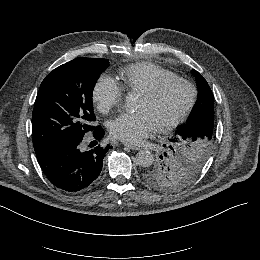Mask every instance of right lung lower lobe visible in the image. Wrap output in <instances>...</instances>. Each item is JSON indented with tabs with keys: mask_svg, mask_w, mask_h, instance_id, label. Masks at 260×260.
Instances as JSON below:
<instances>
[{
	"mask_svg": "<svg viewBox=\"0 0 260 260\" xmlns=\"http://www.w3.org/2000/svg\"><path fill=\"white\" fill-rule=\"evenodd\" d=\"M104 130L97 126L93 136L100 140ZM82 140L64 141L35 149L37 160L48 180L66 192H78L90 186L100 175L109 145L81 150ZM93 143L97 144V141Z\"/></svg>",
	"mask_w": 260,
	"mask_h": 260,
	"instance_id": "obj_1",
	"label": "right lung lower lobe"
}]
</instances>
